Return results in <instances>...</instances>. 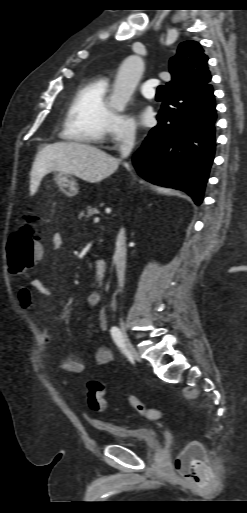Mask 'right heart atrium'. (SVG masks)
Here are the masks:
<instances>
[{
	"label": "right heart atrium",
	"mask_w": 247,
	"mask_h": 513,
	"mask_svg": "<svg viewBox=\"0 0 247 513\" xmlns=\"http://www.w3.org/2000/svg\"><path fill=\"white\" fill-rule=\"evenodd\" d=\"M135 131V125L128 116L115 113L109 119L106 135L114 143H118L133 139Z\"/></svg>",
	"instance_id": "d8ad5b80"
}]
</instances>
